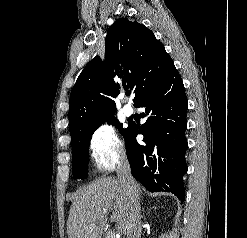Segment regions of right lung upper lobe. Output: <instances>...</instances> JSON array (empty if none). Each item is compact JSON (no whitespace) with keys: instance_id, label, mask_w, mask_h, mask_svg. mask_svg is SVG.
I'll return each mask as SVG.
<instances>
[{"instance_id":"right-lung-upper-lobe-1","label":"right lung upper lobe","mask_w":247,"mask_h":238,"mask_svg":"<svg viewBox=\"0 0 247 238\" xmlns=\"http://www.w3.org/2000/svg\"><path fill=\"white\" fill-rule=\"evenodd\" d=\"M105 60L93 58L70 94L69 130L74 145L87 131L113 118L120 85L130 88L134 105L175 67L163 44L137 21L118 19L106 35Z\"/></svg>"}]
</instances>
